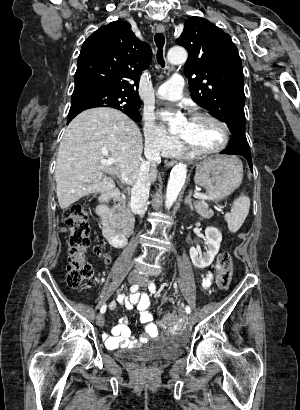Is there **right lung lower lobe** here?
I'll use <instances>...</instances> for the list:
<instances>
[{
	"mask_svg": "<svg viewBox=\"0 0 300 410\" xmlns=\"http://www.w3.org/2000/svg\"><path fill=\"white\" fill-rule=\"evenodd\" d=\"M75 116H72V117H68V119H67V123H69L73 118H74Z\"/></svg>",
	"mask_w": 300,
	"mask_h": 410,
	"instance_id": "1",
	"label": "right lung lower lobe"
}]
</instances>
